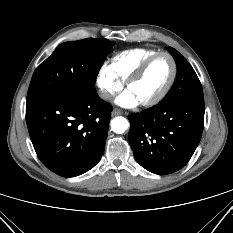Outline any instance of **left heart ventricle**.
Here are the masks:
<instances>
[{"label":"left heart ventricle","mask_w":233,"mask_h":233,"mask_svg":"<svg viewBox=\"0 0 233 233\" xmlns=\"http://www.w3.org/2000/svg\"><path fill=\"white\" fill-rule=\"evenodd\" d=\"M172 74V64L169 58L162 56L156 59L147 69L144 76L127 89L139 102L156 96L167 84Z\"/></svg>","instance_id":"b2bd125f"}]
</instances>
